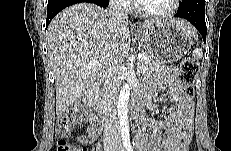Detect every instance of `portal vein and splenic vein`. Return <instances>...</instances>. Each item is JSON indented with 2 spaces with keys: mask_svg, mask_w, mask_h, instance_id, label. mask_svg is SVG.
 <instances>
[{
  "mask_svg": "<svg viewBox=\"0 0 231 151\" xmlns=\"http://www.w3.org/2000/svg\"><path fill=\"white\" fill-rule=\"evenodd\" d=\"M144 57H145L144 54H139V55L137 56V59H138V61H141V60L144 59ZM96 64H97V63H96L95 61H93V62H91V63L89 64V66L96 65Z\"/></svg>",
  "mask_w": 231,
  "mask_h": 151,
  "instance_id": "18ae733b",
  "label": "portal vein and splenic vein"
}]
</instances>
